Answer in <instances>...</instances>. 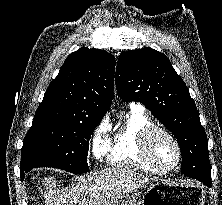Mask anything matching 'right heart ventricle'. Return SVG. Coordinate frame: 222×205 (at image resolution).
Wrapping results in <instances>:
<instances>
[{
  "label": "right heart ventricle",
  "mask_w": 222,
  "mask_h": 205,
  "mask_svg": "<svg viewBox=\"0 0 222 205\" xmlns=\"http://www.w3.org/2000/svg\"><path fill=\"white\" fill-rule=\"evenodd\" d=\"M150 119L140 108L131 107L126 123L113 135L106 151L107 161L115 166H125L148 173H160L143 158L139 148L140 133L151 126Z\"/></svg>",
  "instance_id": "right-heart-ventricle-1"
}]
</instances>
